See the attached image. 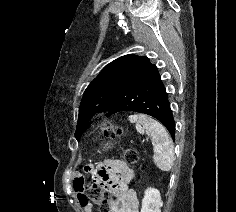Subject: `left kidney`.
Listing matches in <instances>:
<instances>
[{
	"mask_svg": "<svg viewBox=\"0 0 236 212\" xmlns=\"http://www.w3.org/2000/svg\"><path fill=\"white\" fill-rule=\"evenodd\" d=\"M162 204L160 192L155 188H148L144 192L141 212H161Z\"/></svg>",
	"mask_w": 236,
	"mask_h": 212,
	"instance_id": "left-kidney-1",
	"label": "left kidney"
}]
</instances>
